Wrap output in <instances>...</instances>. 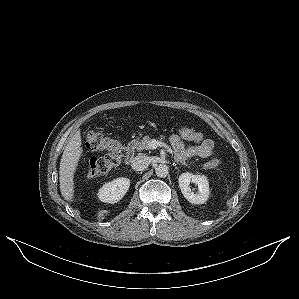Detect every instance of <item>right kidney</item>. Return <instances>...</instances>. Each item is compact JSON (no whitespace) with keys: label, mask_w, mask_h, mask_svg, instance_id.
<instances>
[{"label":"right kidney","mask_w":299,"mask_h":299,"mask_svg":"<svg viewBox=\"0 0 299 299\" xmlns=\"http://www.w3.org/2000/svg\"><path fill=\"white\" fill-rule=\"evenodd\" d=\"M130 186V180L128 178H117L111 182H108L99 189L98 198L105 203H117L126 194Z\"/></svg>","instance_id":"right-kidney-1"}]
</instances>
